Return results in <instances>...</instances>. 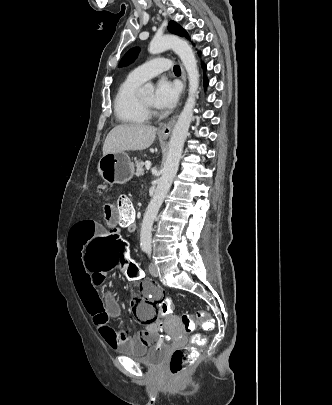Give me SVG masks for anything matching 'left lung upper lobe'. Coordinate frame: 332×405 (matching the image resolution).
I'll use <instances>...</instances> for the list:
<instances>
[{"instance_id": "obj_1", "label": "left lung upper lobe", "mask_w": 332, "mask_h": 405, "mask_svg": "<svg viewBox=\"0 0 332 405\" xmlns=\"http://www.w3.org/2000/svg\"><path fill=\"white\" fill-rule=\"evenodd\" d=\"M168 30L169 32L179 35V36H184L186 38H188V34L186 33V31L179 26L176 22L171 21L168 25ZM139 53V48H132L130 49L122 58L121 62H120V66H125L128 65L130 63H132L135 58L137 57Z\"/></svg>"}]
</instances>
